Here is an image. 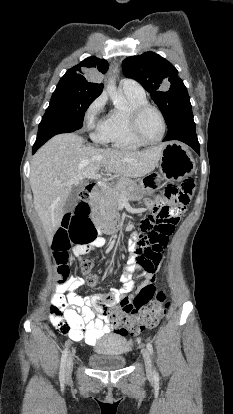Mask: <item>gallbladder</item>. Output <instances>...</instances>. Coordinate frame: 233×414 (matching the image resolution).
I'll list each match as a JSON object with an SVG mask.
<instances>
[{"label": "gallbladder", "instance_id": "obj_1", "mask_svg": "<svg viewBox=\"0 0 233 414\" xmlns=\"http://www.w3.org/2000/svg\"><path fill=\"white\" fill-rule=\"evenodd\" d=\"M84 187H85V182H80L78 184L73 185L72 190L69 196L67 197L64 207H63L64 213H69L75 208V206L79 202V194L83 190Z\"/></svg>", "mask_w": 233, "mask_h": 414}]
</instances>
